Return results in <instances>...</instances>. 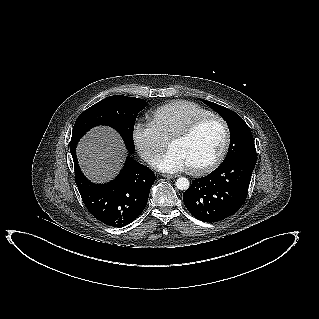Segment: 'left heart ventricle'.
Wrapping results in <instances>:
<instances>
[{
  "instance_id": "obj_1",
  "label": "left heart ventricle",
  "mask_w": 319,
  "mask_h": 319,
  "mask_svg": "<svg viewBox=\"0 0 319 319\" xmlns=\"http://www.w3.org/2000/svg\"><path fill=\"white\" fill-rule=\"evenodd\" d=\"M224 141V131L217 121L202 124L189 138L170 145L186 161L188 168L210 163L219 153Z\"/></svg>"
}]
</instances>
